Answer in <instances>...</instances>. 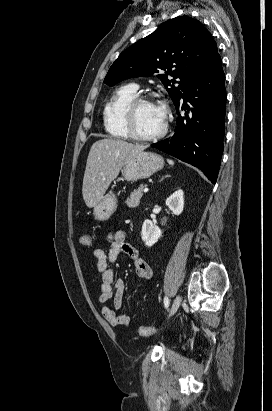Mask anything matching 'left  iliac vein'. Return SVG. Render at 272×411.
<instances>
[{
	"label": "left iliac vein",
	"instance_id": "4c4485c4",
	"mask_svg": "<svg viewBox=\"0 0 272 411\" xmlns=\"http://www.w3.org/2000/svg\"><path fill=\"white\" fill-rule=\"evenodd\" d=\"M182 302V297L180 295H177L176 298L173 301L172 307L169 311L168 318L174 315V313L178 310L180 304Z\"/></svg>",
	"mask_w": 272,
	"mask_h": 411
}]
</instances>
